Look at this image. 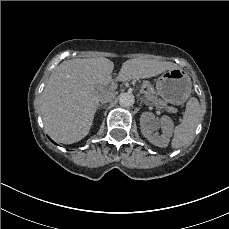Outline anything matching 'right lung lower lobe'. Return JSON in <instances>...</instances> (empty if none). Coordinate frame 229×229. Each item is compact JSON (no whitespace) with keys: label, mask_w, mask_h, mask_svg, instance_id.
Returning <instances> with one entry per match:
<instances>
[{"label":"right lung lower lobe","mask_w":229,"mask_h":229,"mask_svg":"<svg viewBox=\"0 0 229 229\" xmlns=\"http://www.w3.org/2000/svg\"><path fill=\"white\" fill-rule=\"evenodd\" d=\"M49 138V137H48ZM50 139V138H49ZM50 141L52 142V143H54L55 144V142L54 141H52L51 139H50Z\"/></svg>","instance_id":"98d812e1"}]
</instances>
